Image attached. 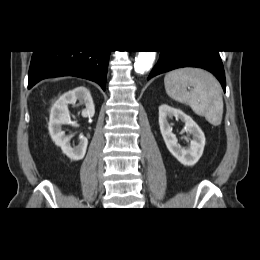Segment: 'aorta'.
Listing matches in <instances>:
<instances>
[{"mask_svg":"<svg viewBox=\"0 0 260 260\" xmlns=\"http://www.w3.org/2000/svg\"><path fill=\"white\" fill-rule=\"evenodd\" d=\"M155 57V51H140L135 59V71L139 74L147 72L152 67Z\"/></svg>","mask_w":260,"mask_h":260,"instance_id":"762f6f07","label":"aorta"}]
</instances>
